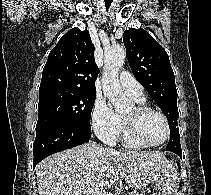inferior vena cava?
<instances>
[{"mask_svg": "<svg viewBox=\"0 0 211 195\" xmlns=\"http://www.w3.org/2000/svg\"><path fill=\"white\" fill-rule=\"evenodd\" d=\"M97 195H107V194L105 193V190L101 189V191Z\"/></svg>", "mask_w": 211, "mask_h": 195, "instance_id": "obj_1", "label": "inferior vena cava"}]
</instances>
